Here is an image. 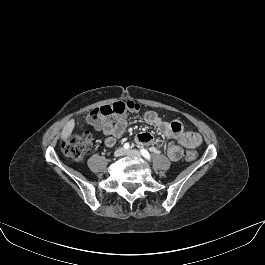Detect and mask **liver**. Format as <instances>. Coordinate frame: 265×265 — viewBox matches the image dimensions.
<instances>
[{
    "label": "liver",
    "instance_id": "6515ba94",
    "mask_svg": "<svg viewBox=\"0 0 265 265\" xmlns=\"http://www.w3.org/2000/svg\"><path fill=\"white\" fill-rule=\"evenodd\" d=\"M75 126V120L71 119L69 120L65 126L63 127L62 133H61V139L65 140L69 137V135L72 133Z\"/></svg>",
    "mask_w": 265,
    "mask_h": 265
}]
</instances>
